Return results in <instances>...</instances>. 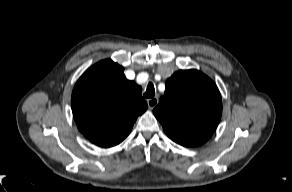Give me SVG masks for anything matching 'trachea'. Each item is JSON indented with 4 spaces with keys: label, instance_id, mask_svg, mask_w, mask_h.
<instances>
[{
    "label": "trachea",
    "instance_id": "3493384b",
    "mask_svg": "<svg viewBox=\"0 0 292 192\" xmlns=\"http://www.w3.org/2000/svg\"><path fill=\"white\" fill-rule=\"evenodd\" d=\"M155 95L154 85L150 82L147 86L146 92L144 93V97L153 98Z\"/></svg>",
    "mask_w": 292,
    "mask_h": 192
}]
</instances>
